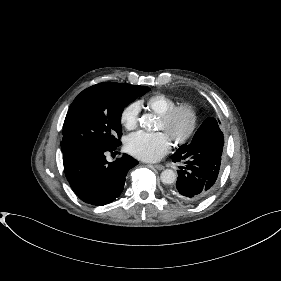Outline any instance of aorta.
I'll list each match as a JSON object with an SVG mask.
<instances>
[{
	"label": "aorta",
	"instance_id": "762f6f07",
	"mask_svg": "<svg viewBox=\"0 0 281 281\" xmlns=\"http://www.w3.org/2000/svg\"><path fill=\"white\" fill-rule=\"evenodd\" d=\"M140 126L144 129H149L151 127V124H152V119H151V116L150 115H143L141 118H140ZM161 181L163 184H173L175 183L176 179H177V175L176 173L171 170V169H166L164 171H162L161 173Z\"/></svg>",
	"mask_w": 281,
	"mask_h": 281
}]
</instances>
